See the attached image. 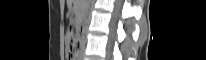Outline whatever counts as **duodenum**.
Listing matches in <instances>:
<instances>
[{"instance_id": "duodenum-1", "label": "duodenum", "mask_w": 206, "mask_h": 60, "mask_svg": "<svg viewBox=\"0 0 206 60\" xmlns=\"http://www.w3.org/2000/svg\"><path fill=\"white\" fill-rule=\"evenodd\" d=\"M78 32H79L78 33L79 39L82 40L83 36H84V30H83L81 25H79V27H78Z\"/></svg>"}]
</instances>
